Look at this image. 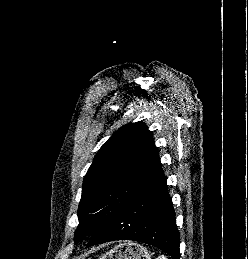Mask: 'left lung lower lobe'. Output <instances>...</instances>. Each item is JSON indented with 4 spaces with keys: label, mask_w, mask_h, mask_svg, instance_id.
Segmentation results:
<instances>
[{
    "label": "left lung lower lobe",
    "mask_w": 248,
    "mask_h": 259,
    "mask_svg": "<svg viewBox=\"0 0 248 259\" xmlns=\"http://www.w3.org/2000/svg\"><path fill=\"white\" fill-rule=\"evenodd\" d=\"M115 240L143 242L179 259V232L166 178L123 209L92 237L87 247Z\"/></svg>",
    "instance_id": "left-lung-lower-lobe-1"
}]
</instances>
